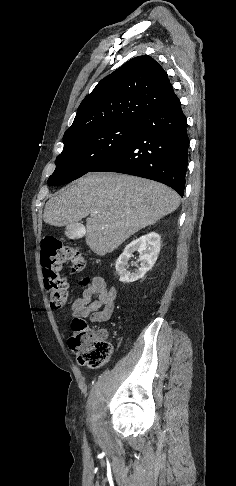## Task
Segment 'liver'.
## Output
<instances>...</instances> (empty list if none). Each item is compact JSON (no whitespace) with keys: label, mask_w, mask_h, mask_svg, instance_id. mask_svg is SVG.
<instances>
[{"label":"liver","mask_w":236,"mask_h":486,"mask_svg":"<svg viewBox=\"0 0 236 486\" xmlns=\"http://www.w3.org/2000/svg\"><path fill=\"white\" fill-rule=\"evenodd\" d=\"M179 204V195L164 184L98 172L85 175L49 199L43 218L57 227L86 218V244L104 256L134 233L175 211Z\"/></svg>","instance_id":"obj_1"}]
</instances>
